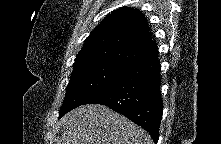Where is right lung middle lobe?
Masks as SVG:
<instances>
[{"instance_id":"right-lung-middle-lobe-1","label":"right lung middle lobe","mask_w":221,"mask_h":144,"mask_svg":"<svg viewBox=\"0 0 221 144\" xmlns=\"http://www.w3.org/2000/svg\"><path fill=\"white\" fill-rule=\"evenodd\" d=\"M143 58L129 52L107 51L75 61L59 118L120 79Z\"/></svg>"}]
</instances>
